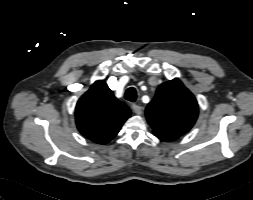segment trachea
I'll return each instance as SVG.
<instances>
[{"label": "trachea", "instance_id": "1", "mask_svg": "<svg viewBox=\"0 0 253 200\" xmlns=\"http://www.w3.org/2000/svg\"><path fill=\"white\" fill-rule=\"evenodd\" d=\"M136 98H137L136 89L133 87L128 88L125 93V99L130 102H135Z\"/></svg>", "mask_w": 253, "mask_h": 200}]
</instances>
